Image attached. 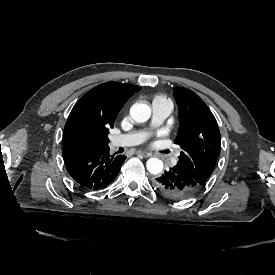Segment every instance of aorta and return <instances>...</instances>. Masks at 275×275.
Segmentation results:
<instances>
[{
	"label": "aorta",
	"mask_w": 275,
	"mask_h": 275,
	"mask_svg": "<svg viewBox=\"0 0 275 275\" xmlns=\"http://www.w3.org/2000/svg\"><path fill=\"white\" fill-rule=\"evenodd\" d=\"M130 116L138 123L146 122L151 116V108L145 103H134L130 108ZM149 173L157 175L163 170V161L158 158H149L146 162Z\"/></svg>",
	"instance_id": "762f6f07"
}]
</instances>
